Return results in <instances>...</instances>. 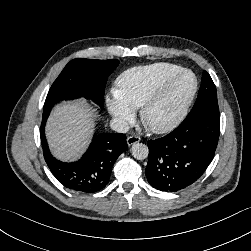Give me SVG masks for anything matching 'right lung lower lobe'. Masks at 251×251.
Wrapping results in <instances>:
<instances>
[{"label":"right lung lower lobe","mask_w":251,"mask_h":251,"mask_svg":"<svg viewBox=\"0 0 251 251\" xmlns=\"http://www.w3.org/2000/svg\"><path fill=\"white\" fill-rule=\"evenodd\" d=\"M50 111H43L40 135L44 158L53 175L72 191L94 193L103 189L109 182L116 159L127 150L126 135L94 134L88 150L80 160L64 163L52 156L45 137V124Z\"/></svg>","instance_id":"98d812e1"}]
</instances>
